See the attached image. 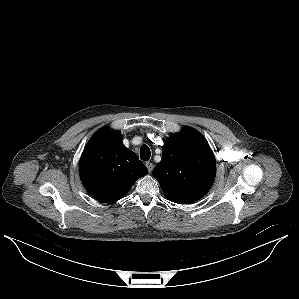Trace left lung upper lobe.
<instances>
[{
	"instance_id": "1",
	"label": "left lung upper lobe",
	"mask_w": 299,
	"mask_h": 299,
	"mask_svg": "<svg viewBox=\"0 0 299 299\" xmlns=\"http://www.w3.org/2000/svg\"><path fill=\"white\" fill-rule=\"evenodd\" d=\"M215 174L216 162L210 146L191 127L166 140L162 159L153 169L166 198L179 204L201 199L211 188Z\"/></svg>"
}]
</instances>
